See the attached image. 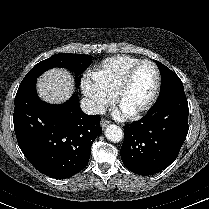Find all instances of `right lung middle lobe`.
<instances>
[{"label": "right lung middle lobe", "instance_id": "right-lung-middle-lobe-1", "mask_svg": "<svg viewBox=\"0 0 209 209\" xmlns=\"http://www.w3.org/2000/svg\"><path fill=\"white\" fill-rule=\"evenodd\" d=\"M92 56L84 54H72V53H59L51 56L50 58L43 60L36 64L24 77L20 86L25 85L28 81L36 79L46 70L53 67H64L77 75L83 73L91 63ZM80 81L77 78L76 85H79Z\"/></svg>", "mask_w": 209, "mask_h": 209}]
</instances>
